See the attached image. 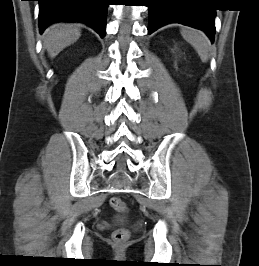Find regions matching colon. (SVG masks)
<instances>
[{"label": "colon", "instance_id": "5ec220e1", "mask_svg": "<svg viewBox=\"0 0 259 266\" xmlns=\"http://www.w3.org/2000/svg\"><path fill=\"white\" fill-rule=\"evenodd\" d=\"M110 205L117 212L125 213L127 211L126 203L119 197L111 198ZM129 238H130V232L125 228L118 229L113 234V239L117 243H124L128 241Z\"/></svg>", "mask_w": 259, "mask_h": 266}]
</instances>
